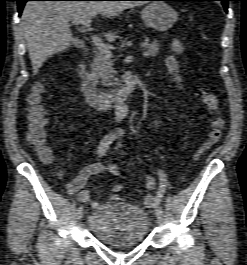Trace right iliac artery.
Wrapping results in <instances>:
<instances>
[{
  "instance_id": "1",
  "label": "right iliac artery",
  "mask_w": 247,
  "mask_h": 265,
  "mask_svg": "<svg viewBox=\"0 0 247 265\" xmlns=\"http://www.w3.org/2000/svg\"><path fill=\"white\" fill-rule=\"evenodd\" d=\"M117 138V134L115 132H111L107 134L102 141L100 142V145L98 147L97 153L101 157L105 155L109 145ZM98 206V202L94 201L91 203V207L95 208Z\"/></svg>"
}]
</instances>
